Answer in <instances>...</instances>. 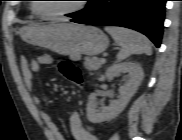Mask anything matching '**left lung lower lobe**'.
Returning a JSON list of instances; mask_svg holds the SVG:
<instances>
[{"label": "left lung lower lobe", "instance_id": "0a47b994", "mask_svg": "<svg viewBox=\"0 0 182 140\" xmlns=\"http://www.w3.org/2000/svg\"><path fill=\"white\" fill-rule=\"evenodd\" d=\"M166 0H99L73 22L95 26H121L146 35L160 47Z\"/></svg>", "mask_w": 182, "mask_h": 140}]
</instances>
